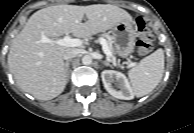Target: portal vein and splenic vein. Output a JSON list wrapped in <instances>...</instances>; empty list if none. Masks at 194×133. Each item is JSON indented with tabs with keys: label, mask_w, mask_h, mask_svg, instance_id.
<instances>
[{
	"label": "portal vein and splenic vein",
	"mask_w": 194,
	"mask_h": 133,
	"mask_svg": "<svg viewBox=\"0 0 194 133\" xmlns=\"http://www.w3.org/2000/svg\"><path fill=\"white\" fill-rule=\"evenodd\" d=\"M41 42L47 43L50 42V39L47 37H42ZM58 45L66 46V47H78L82 45V41L80 39H73L69 35H66L63 39H58L56 41ZM99 43L102 45L103 52L108 56L111 57L112 53L109 50L108 42L104 38L99 39ZM135 63H131L130 67L134 66Z\"/></svg>",
	"instance_id": "portal-vein-and-splenic-vein-1"
}]
</instances>
